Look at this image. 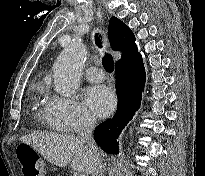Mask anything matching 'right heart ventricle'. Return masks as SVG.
<instances>
[{
	"label": "right heart ventricle",
	"instance_id": "obj_1",
	"mask_svg": "<svg viewBox=\"0 0 205 176\" xmlns=\"http://www.w3.org/2000/svg\"><path fill=\"white\" fill-rule=\"evenodd\" d=\"M36 105L37 107H39V112L41 113V115L49 119L48 114H47V103L41 104L39 100H37Z\"/></svg>",
	"mask_w": 205,
	"mask_h": 176
}]
</instances>
